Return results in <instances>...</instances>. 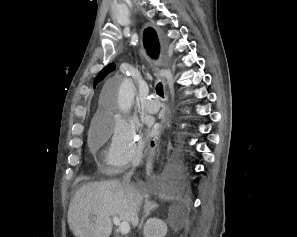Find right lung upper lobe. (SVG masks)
I'll return each instance as SVG.
<instances>
[{"label": "right lung upper lobe", "instance_id": "1", "mask_svg": "<svg viewBox=\"0 0 297 237\" xmlns=\"http://www.w3.org/2000/svg\"><path fill=\"white\" fill-rule=\"evenodd\" d=\"M144 46L146 50L148 51L151 56L154 58H157L160 51V44L159 40L156 34V31L153 28H148L144 31ZM115 69V65L109 64L106 66L101 72L98 74V76L94 80V86H96L101 80L104 79V77L111 71Z\"/></svg>", "mask_w": 297, "mask_h": 237}]
</instances>
